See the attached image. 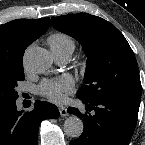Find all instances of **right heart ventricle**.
<instances>
[{"mask_svg": "<svg viewBox=\"0 0 145 145\" xmlns=\"http://www.w3.org/2000/svg\"><path fill=\"white\" fill-rule=\"evenodd\" d=\"M47 43L53 54L63 52H68L72 54L75 48V42L73 38L63 32H55L50 34L47 38Z\"/></svg>", "mask_w": 145, "mask_h": 145, "instance_id": "e07e8e85", "label": "right heart ventricle"}]
</instances>
